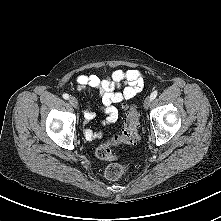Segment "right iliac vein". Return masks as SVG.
<instances>
[{
  "label": "right iliac vein",
  "mask_w": 221,
  "mask_h": 221,
  "mask_svg": "<svg viewBox=\"0 0 221 221\" xmlns=\"http://www.w3.org/2000/svg\"><path fill=\"white\" fill-rule=\"evenodd\" d=\"M69 103H70L75 109H78V108H79L78 100H77L75 97L71 96V97L69 98Z\"/></svg>",
  "instance_id": "63e3f726"
}]
</instances>
